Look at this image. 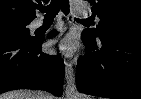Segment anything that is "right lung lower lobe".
<instances>
[{"label": "right lung lower lobe", "instance_id": "98d812e1", "mask_svg": "<svg viewBox=\"0 0 141 99\" xmlns=\"http://www.w3.org/2000/svg\"><path fill=\"white\" fill-rule=\"evenodd\" d=\"M55 33H51L49 37ZM44 38L0 37V93L15 89H42L61 96L64 64L59 55L42 53Z\"/></svg>", "mask_w": 141, "mask_h": 99}]
</instances>
